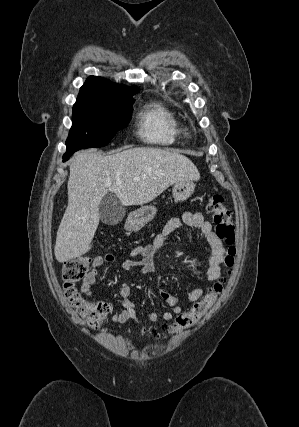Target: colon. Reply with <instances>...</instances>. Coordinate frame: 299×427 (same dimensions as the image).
<instances>
[{"label": "colon", "instance_id": "1", "mask_svg": "<svg viewBox=\"0 0 299 427\" xmlns=\"http://www.w3.org/2000/svg\"><path fill=\"white\" fill-rule=\"evenodd\" d=\"M206 208L213 215L217 237L228 246L223 264L230 273L236 254L234 246L236 228L232 211L225 206L222 195L217 193L208 197ZM90 264L91 259L87 256L67 260L62 268L63 286L67 299L79 316L92 329H99L109 313V305L105 302L87 301L77 288V283L88 273ZM223 287V281L217 282L200 301L196 302L188 311L179 314L171 324L165 326L164 332H181L199 323L222 294Z\"/></svg>", "mask_w": 299, "mask_h": 427}]
</instances>
